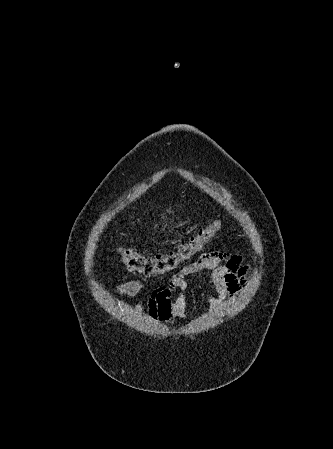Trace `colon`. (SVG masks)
<instances>
[{
	"label": "colon",
	"instance_id": "colon-1",
	"mask_svg": "<svg viewBox=\"0 0 333 449\" xmlns=\"http://www.w3.org/2000/svg\"><path fill=\"white\" fill-rule=\"evenodd\" d=\"M221 222L215 221L208 227L199 230L185 244L175 251L156 255L144 256L138 252L123 248L119 251L121 261L129 271L138 272L146 276L164 274L178 267L184 261L192 258L216 233L221 229Z\"/></svg>",
	"mask_w": 333,
	"mask_h": 449
}]
</instances>
